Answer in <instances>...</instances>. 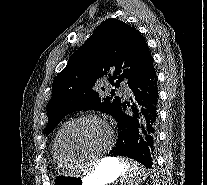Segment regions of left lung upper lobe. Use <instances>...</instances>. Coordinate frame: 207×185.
Wrapping results in <instances>:
<instances>
[{
    "label": "left lung upper lobe",
    "mask_w": 207,
    "mask_h": 185,
    "mask_svg": "<svg viewBox=\"0 0 207 185\" xmlns=\"http://www.w3.org/2000/svg\"><path fill=\"white\" fill-rule=\"evenodd\" d=\"M152 65L148 45L135 28L118 19L103 21L54 78L52 98L47 105L46 135L73 111L93 109L115 118L121 108V97L115 96L113 89L111 97L100 98L97 83L109 77L115 88L124 80L130 86Z\"/></svg>",
    "instance_id": "left-lung-upper-lobe-1"
}]
</instances>
